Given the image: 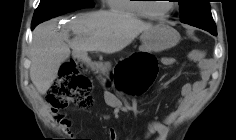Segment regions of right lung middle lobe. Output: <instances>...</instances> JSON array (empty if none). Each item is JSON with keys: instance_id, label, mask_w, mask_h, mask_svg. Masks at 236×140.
I'll return each mask as SVG.
<instances>
[{"instance_id": "dd1d6c3e", "label": "right lung middle lobe", "mask_w": 236, "mask_h": 140, "mask_svg": "<svg viewBox=\"0 0 236 140\" xmlns=\"http://www.w3.org/2000/svg\"><path fill=\"white\" fill-rule=\"evenodd\" d=\"M94 6L95 4L92 0H41L34 12L32 25H38L43 21L68 12Z\"/></svg>"}]
</instances>
